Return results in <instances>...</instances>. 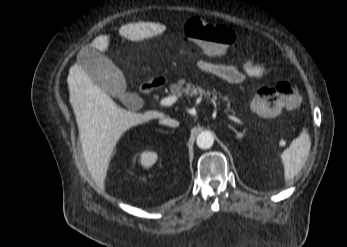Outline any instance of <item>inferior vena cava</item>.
I'll list each match as a JSON object with an SVG mask.
<instances>
[{
    "instance_id": "inferior-vena-cava-1",
    "label": "inferior vena cava",
    "mask_w": 347,
    "mask_h": 247,
    "mask_svg": "<svg viewBox=\"0 0 347 247\" xmlns=\"http://www.w3.org/2000/svg\"><path fill=\"white\" fill-rule=\"evenodd\" d=\"M159 123L167 125V126H171V127H178L179 126V122L177 120L171 119L170 117H167V116H162L159 119Z\"/></svg>"
}]
</instances>
